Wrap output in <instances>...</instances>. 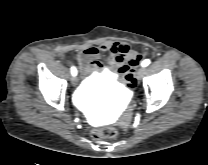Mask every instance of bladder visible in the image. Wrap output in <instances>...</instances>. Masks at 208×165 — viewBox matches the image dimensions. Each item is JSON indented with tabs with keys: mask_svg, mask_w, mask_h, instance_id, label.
Segmentation results:
<instances>
[{
	"mask_svg": "<svg viewBox=\"0 0 208 165\" xmlns=\"http://www.w3.org/2000/svg\"><path fill=\"white\" fill-rule=\"evenodd\" d=\"M100 90L106 98L115 99L122 98L125 92L124 88L116 81V79L108 74L92 76L82 84V96L79 101L80 106L85 108L89 103L91 95Z\"/></svg>",
	"mask_w": 208,
	"mask_h": 165,
	"instance_id": "obj_1",
	"label": "bladder"
}]
</instances>
